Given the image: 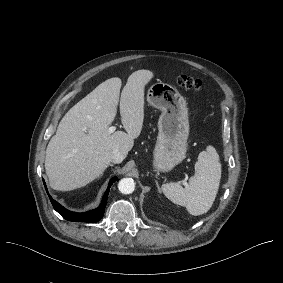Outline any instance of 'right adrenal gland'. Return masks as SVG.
Masks as SVG:
<instances>
[{"label":"right adrenal gland","mask_w":283,"mask_h":283,"mask_svg":"<svg viewBox=\"0 0 283 283\" xmlns=\"http://www.w3.org/2000/svg\"><path fill=\"white\" fill-rule=\"evenodd\" d=\"M104 173H105V170L102 171V173L95 179V181L99 180L103 176Z\"/></svg>","instance_id":"2a0ac1e0"}]
</instances>
